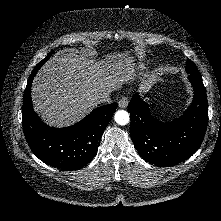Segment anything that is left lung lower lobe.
Wrapping results in <instances>:
<instances>
[{"mask_svg":"<svg viewBox=\"0 0 221 221\" xmlns=\"http://www.w3.org/2000/svg\"><path fill=\"white\" fill-rule=\"evenodd\" d=\"M191 106L178 119L164 123L155 119L138 94L130 100V134L140 156L158 167L176 165L200 147L208 123V104L203 84L192 82Z\"/></svg>","mask_w":221,"mask_h":221,"instance_id":"1","label":"left lung lower lobe"}]
</instances>
